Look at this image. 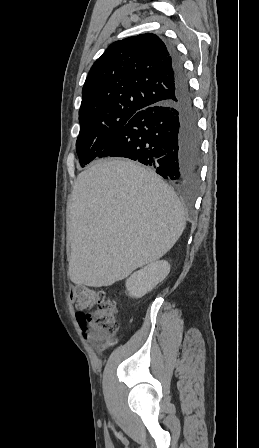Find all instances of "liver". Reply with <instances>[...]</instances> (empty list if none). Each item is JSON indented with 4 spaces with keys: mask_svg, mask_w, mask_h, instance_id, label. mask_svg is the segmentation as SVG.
Here are the masks:
<instances>
[{
    "mask_svg": "<svg viewBox=\"0 0 259 448\" xmlns=\"http://www.w3.org/2000/svg\"><path fill=\"white\" fill-rule=\"evenodd\" d=\"M70 202L73 284L112 286L162 258L185 228L174 190L126 158L99 160L81 172Z\"/></svg>",
    "mask_w": 259,
    "mask_h": 448,
    "instance_id": "1",
    "label": "liver"
}]
</instances>
